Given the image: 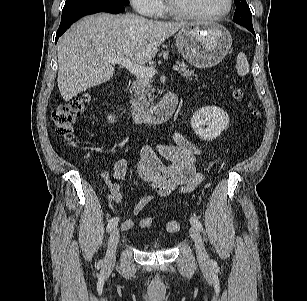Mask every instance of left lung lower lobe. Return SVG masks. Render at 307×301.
Listing matches in <instances>:
<instances>
[{"mask_svg":"<svg viewBox=\"0 0 307 301\" xmlns=\"http://www.w3.org/2000/svg\"><path fill=\"white\" fill-rule=\"evenodd\" d=\"M245 27V26H244ZM246 28L255 35L253 26H246Z\"/></svg>","mask_w":307,"mask_h":301,"instance_id":"left-lung-lower-lobe-1","label":"left lung lower lobe"}]
</instances>
